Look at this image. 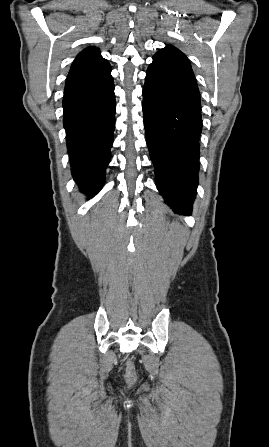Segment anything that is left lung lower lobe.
<instances>
[{
  "label": "left lung lower lobe",
  "instance_id": "obj_1",
  "mask_svg": "<svg viewBox=\"0 0 269 447\" xmlns=\"http://www.w3.org/2000/svg\"><path fill=\"white\" fill-rule=\"evenodd\" d=\"M200 101L187 57L177 48L159 50L143 88L144 126L157 188L177 212H189L197 192Z\"/></svg>",
  "mask_w": 269,
  "mask_h": 447
}]
</instances>
